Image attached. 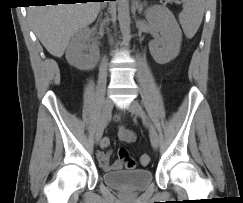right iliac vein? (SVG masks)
<instances>
[{"label": "right iliac vein", "instance_id": "obj_1", "mask_svg": "<svg viewBox=\"0 0 243 203\" xmlns=\"http://www.w3.org/2000/svg\"><path fill=\"white\" fill-rule=\"evenodd\" d=\"M112 100L110 98H106L104 100V104H103V109H102V115H101V119L99 121L98 127H97V131L95 134V142L98 143L103 135L104 132V128L109 120L110 114H111V110H112Z\"/></svg>", "mask_w": 243, "mask_h": 203}]
</instances>
